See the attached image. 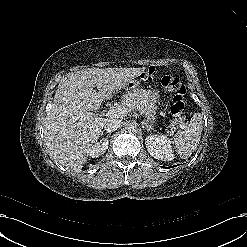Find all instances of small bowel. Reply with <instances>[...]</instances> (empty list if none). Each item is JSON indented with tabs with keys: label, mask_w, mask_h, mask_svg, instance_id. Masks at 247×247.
Masks as SVG:
<instances>
[{
	"label": "small bowel",
	"mask_w": 247,
	"mask_h": 247,
	"mask_svg": "<svg viewBox=\"0 0 247 247\" xmlns=\"http://www.w3.org/2000/svg\"><path fill=\"white\" fill-rule=\"evenodd\" d=\"M154 77V69L151 67L149 68L142 76L144 81H151Z\"/></svg>",
	"instance_id": "1"
}]
</instances>
